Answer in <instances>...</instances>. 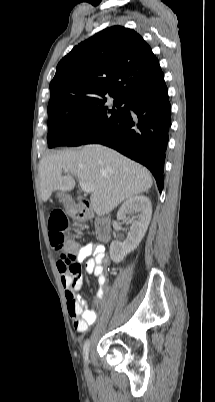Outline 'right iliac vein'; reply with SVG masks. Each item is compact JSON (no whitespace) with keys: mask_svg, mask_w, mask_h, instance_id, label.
Here are the masks:
<instances>
[{"mask_svg":"<svg viewBox=\"0 0 215 402\" xmlns=\"http://www.w3.org/2000/svg\"><path fill=\"white\" fill-rule=\"evenodd\" d=\"M85 372H86L87 375L89 374V369H88L87 366H86Z\"/></svg>","mask_w":215,"mask_h":402,"instance_id":"1","label":"right iliac vein"}]
</instances>
